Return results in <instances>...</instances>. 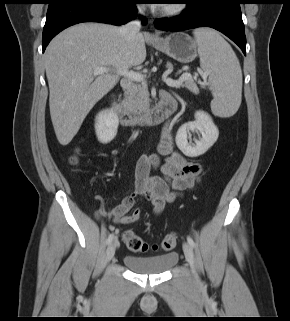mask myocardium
Returning a JSON list of instances; mask_svg holds the SVG:
<instances>
[{"mask_svg": "<svg viewBox=\"0 0 290 321\" xmlns=\"http://www.w3.org/2000/svg\"><path fill=\"white\" fill-rule=\"evenodd\" d=\"M185 3L182 0L174 1L159 7L157 13L163 17H173L181 14L185 10Z\"/></svg>", "mask_w": 290, "mask_h": 321, "instance_id": "f54148a6", "label": "myocardium"}]
</instances>
